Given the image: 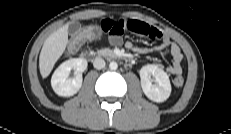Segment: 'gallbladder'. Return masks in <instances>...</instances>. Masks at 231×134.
Segmentation results:
<instances>
[{
	"label": "gallbladder",
	"instance_id": "1",
	"mask_svg": "<svg viewBox=\"0 0 231 134\" xmlns=\"http://www.w3.org/2000/svg\"><path fill=\"white\" fill-rule=\"evenodd\" d=\"M81 28V25L79 22H72L70 25H69V32L71 34H75L78 32V30Z\"/></svg>",
	"mask_w": 231,
	"mask_h": 134
}]
</instances>
